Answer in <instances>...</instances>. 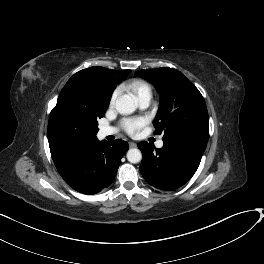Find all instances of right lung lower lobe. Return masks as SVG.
<instances>
[{
    "label": "right lung lower lobe",
    "instance_id": "obj_1",
    "mask_svg": "<svg viewBox=\"0 0 264 264\" xmlns=\"http://www.w3.org/2000/svg\"><path fill=\"white\" fill-rule=\"evenodd\" d=\"M128 143L98 139L66 156L55 166L74 190L83 194H96L113 182Z\"/></svg>",
    "mask_w": 264,
    "mask_h": 264
}]
</instances>
